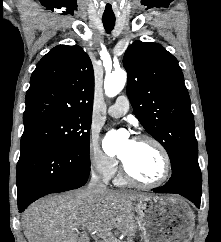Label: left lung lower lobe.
<instances>
[{
  "mask_svg": "<svg viewBox=\"0 0 221 242\" xmlns=\"http://www.w3.org/2000/svg\"><path fill=\"white\" fill-rule=\"evenodd\" d=\"M156 193H176L184 196L200 207L202 183L198 158H190L173 170L169 181L162 187L152 190Z\"/></svg>",
  "mask_w": 221,
  "mask_h": 242,
  "instance_id": "obj_1",
  "label": "left lung lower lobe"
}]
</instances>
